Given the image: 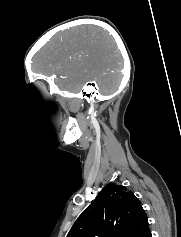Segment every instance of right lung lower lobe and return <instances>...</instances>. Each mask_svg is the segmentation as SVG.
I'll return each instance as SVG.
<instances>
[{"label": "right lung lower lobe", "mask_w": 181, "mask_h": 237, "mask_svg": "<svg viewBox=\"0 0 181 237\" xmlns=\"http://www.w3.org/2000/svg\"><path fill=\"white\" fill-rule=\"evenodd\" d=\"M146 237H152L151 233H149Z\"/></svg>", "instance_id": "1"}]
</instances>
